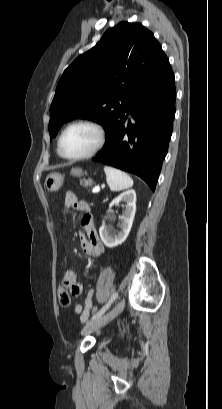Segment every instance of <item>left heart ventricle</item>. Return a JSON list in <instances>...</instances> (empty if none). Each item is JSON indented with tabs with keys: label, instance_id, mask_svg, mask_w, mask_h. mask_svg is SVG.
<instances>
[{
	"label": "left heart ventricle",
	"instance_id": "b2bd125f",
	"mask_svg": "<svg viewBox=\"0 0 222 409\" xmlns=\"http://www.w3.org/2000/svg\"><path fill=\"white\" fill-rule=\"evenodd\" d=\"M97 140V132L92 127L76 126L64 135L62 150L68 156H79L92 150Z\"/></svg>",
	"mask_w": 222,
	"mask_h": 409
}]
</instances>
